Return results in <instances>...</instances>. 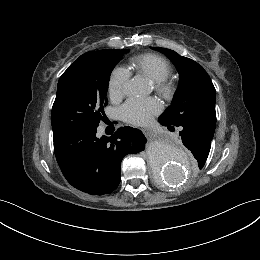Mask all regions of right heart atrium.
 Wrapping results in <instances>:
<instances>
[{"mask_svg": "<svg viewBox=\"0 0 260 260\" xmlns=\"http://www.w3.org/2000/svg\"><path fill=\"white\" fill-rule=\"evenodd\" d=\"M128 80L129 73L124 68L116 67L112 71L108 84V92L111 99L118 100L123 96Z\"/></svg>", "mask_w": 260, "mask_h": 260, "instance_id": "obj_1", "label": "right heart atrium"}]
</instances>
